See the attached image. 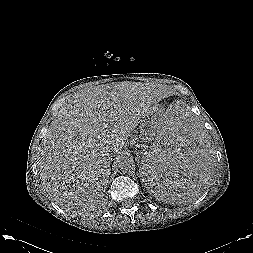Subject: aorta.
Returning a JSON list of instances; mask_svg holds the SVG:
<instances>
[{"label":"aorta","instance_id":"1","mask_svg":"<svg viewBox=\"0 0 253 253\" xmlns=\"http://www.w3.org/2000/svg\"><path fill=\"white\" fill-rule=\"evenodd\" d=\"M117 164H118L119 169L125 173L130 172L135 168V161L133 157L127 156V155L121 156L117 160Z\"/></svg>","mask_w":253,"mask_h":253}]
</instances>
